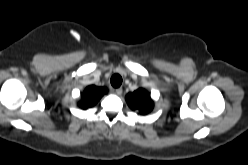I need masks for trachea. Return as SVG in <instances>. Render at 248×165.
Returning a JSON list of instances; mask_svg holds the SVG:
<instances>
[{"label": "trachea", "instance_id": "3493384b", "mask_svg": "<svg viewBox=\"0 0 248 165\" xmlns=\"http://www.w3.org/2000/svg\"><path fill=\"white\" fill-rule=\"evenodd\" d=\"M111 85L114 87V88H118L120 87V85L122 84V77L119 75V74H114L112 77H111Z\"/></svg>", "mask_w": 248, "mask_h": 165}]
</instances>
